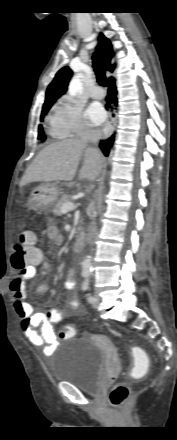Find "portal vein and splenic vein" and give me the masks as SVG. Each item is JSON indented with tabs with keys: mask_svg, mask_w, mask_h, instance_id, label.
<instances>
[{
	"mask_svg": "<svg viewBox=\"0 0 177 440\" xmlns=\"http://www.w3.org/2000/svg\"><path fill=\"white\" fill-rule=\"evenodd\" d=\"M76 208V205L72 202L69 203H65L64 205H62L61 207V214H66L69 211H72Z\"/></svg>",
	"mask_w": 177,
	"mask_h": 440,
	"instance_id": "18ae733b",
	"label": "portal vein and splenic vein"
}]
</instances>
